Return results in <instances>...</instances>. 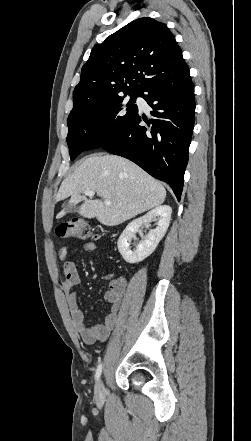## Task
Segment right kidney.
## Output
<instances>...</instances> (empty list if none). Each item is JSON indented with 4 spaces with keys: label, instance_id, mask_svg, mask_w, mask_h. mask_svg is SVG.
I'll list each match as a JSON object with an SVG mask.
<instances>
[{
    "label": "right kidney",
    "instance_id": "obj_1",
    "mask_svg": "<svg viewBox=\"0 0 251 441\" xmlns=\"http://www.w3.org/2000/svg\"><path fill=\"white\" fill-rule=\"evenodd\" d=\"M172 208L168 205L157 206L149 211L144 216L130 222L118 239V250L123 259L127 263H137L143 261L150 256L161 239L166 234L171 220ZM158 219V224L155 229L149 231L144 240H141L136 249L131 250L130 242L135 238V233L142 226L143 223L151 222L153 219Z\"/></svg>",
    "mask_w": 251,
    "mask_h": 441
}]
</instances>
